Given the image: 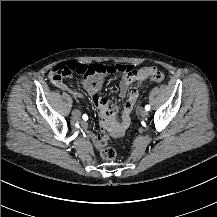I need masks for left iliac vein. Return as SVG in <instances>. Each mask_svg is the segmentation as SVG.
<instances>
[{
  "label": "left iliac vein",
  "instance_id": "4c4485c4",
  "mask_svg": "<svg viewBox=\"0 0 217 217\" xmlns=\"http://www.w3.org/2000/svg\"><path fill=\"white\" fill-rule=\"evenodd\" d=\"M139 114H140V116L141 117H147L148 116V111L147 110H145V109H141L140 111H139Z\"/></svg>",
  "mask_w": 217,
  "mask_h": 217
}]
</instances>
